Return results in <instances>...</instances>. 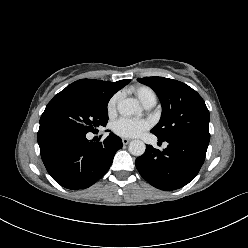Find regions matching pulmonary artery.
Here are the masks:
<instances>
[{
  "label": "pulmonary artery",
  "mask_w": 248,
  "mask_h": 248,
  "mask_svg": "<svg viewBox=\"0 0 248 248\" xmlns=\"http://www.w3.org/2000/svg\"><path fill=\"white\" fill-rule=\"evenodd\" d=\"M153 105H154L153 103L147 104V105H145V108L149 109V108L153 107Z\"/></svg>",
  "instance_id": "1"
}]
</instances>
